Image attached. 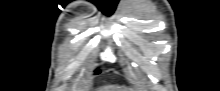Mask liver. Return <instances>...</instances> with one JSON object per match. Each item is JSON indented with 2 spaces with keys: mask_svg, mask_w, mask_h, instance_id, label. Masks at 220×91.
Masks as SVG:
<instances>
[{
  "mask_svg": "<svg viewBox=\"0 0 220 91\" xmlns=\"http://www.w3.org/2000/svg\"><path fill=\"white\" fill-rule=\"evenodd\" d=\"M102 91H122V90H102Z\"/></svg>",
  "mask_w": 220,
  "mask_h": 91,
  "instance_id": "1",
  "label": "liver"
}]
</instances>
